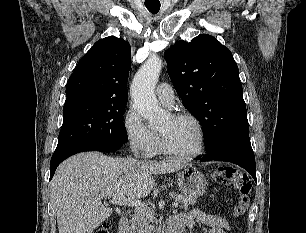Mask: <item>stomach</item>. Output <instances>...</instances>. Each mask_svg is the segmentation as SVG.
<instances>
[{
	"label": "stomach",
	"instance_id": "1",
	"mask_svg": "<svg viewBox=\"0 0 306 233\" xmlns=\"http://www.w3.org/2000/svg\"><path fill=\"white\" fill-rule=\"evenodd\" d=\"M178 186L183 195L199 198L207 187L204 175L192 166H186L178 173Z\"/></svg>",
	"mask_w": 306,
	"mask_h": 233
}]
</instances>
